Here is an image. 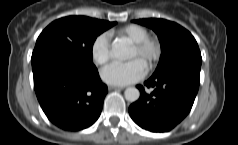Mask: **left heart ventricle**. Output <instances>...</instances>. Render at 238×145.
Segmentation results:
<instances>
[{"label": "left heart ventricle", "mask_w": 238, "mask_h": 145, "mask_svg": "<svg viewBox=\"0 0 238 145\" xmlns=\"http://www.w3.org/2000/svg\"><path fill=\"white\" fill-rule=\"evenodd\" d=\"M128 59H138L143 65L145 64L144 58L138 56L133 48H131L129 51Z\"/></svg>", "instance_id": "1"}]
</instances>
